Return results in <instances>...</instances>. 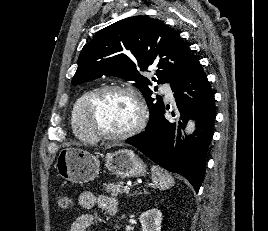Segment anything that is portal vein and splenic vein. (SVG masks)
Wrapping results in <instances>:
<instances>
[{"label": "portal vein and splenic vein", "instance_id": "1", "mask_svg": "<svg viewBox=\"0 0 268 231\" xmlns=\"http://www.w3.org/2000/svg\"><path fill=\"white\" fill-rule=\"evenodd\" d=\"M123 190H124L125 193H129L130 188L128 186H125Z\"/></svg>", "mask_w": 268, "mask_h": 231}]
</instances>
